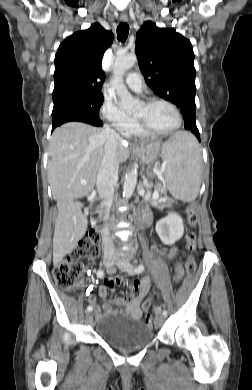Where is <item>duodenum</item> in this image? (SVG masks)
Listing matches in <instances>:
<instances>
[{"label":"duodenum","mask_w":252,"mask_h":390,"mask_svg":"<svg viewBox=\"0 0 252 390\" xmlns=\"http://www.w3.org/2000/svg\"><path fill=\"white\" fill-rule=\"evenodd\" d=\"M142 219V217L140 216ZM105 219V213L99 201L93 202V223L96 229H102Z\"/></svg>","instance_id":"obj_1"}]
</instances>
